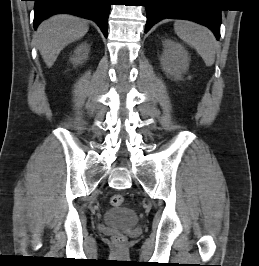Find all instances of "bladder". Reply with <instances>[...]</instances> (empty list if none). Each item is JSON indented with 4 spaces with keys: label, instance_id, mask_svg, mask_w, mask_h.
<instances>
[{
    "label": "bladder",
    "instance_id": "obj_1",
    "mask_svg": "<svg viewBox=\"0 0 259 266\" xmlns=\"http://www.w3.org/2000/svg\"><path fill=\"white\" fill-rule=\"evenodd\" d=\"M104 220L109 225L114 226H132L137 223L136 213L126 207H115L105 214Z\"/></svg>",
    "mask_w": 259,
    "mask_h": 266
}]
</instances>
